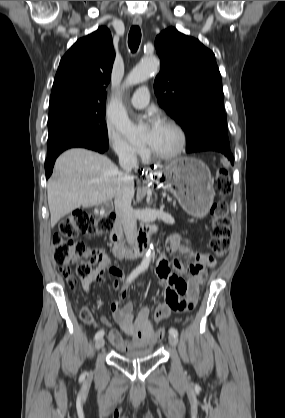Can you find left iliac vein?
<instances>
[{
  "instance_id": "1",
  "label": "left iliac vein",
  "mask_w": 285,
  "mask_h": 418,
  "mask_svg": "<svg viewBox=\"0 0 285 418\" xmlns=\"http://www.w3.org/2000/svg\"><path fill=\"white\" fill-rule=\"evenodd\" d=\"M169 343L173 346V347H177L178 346V338L174 335H169Z\"/></svg>"
}]
</instances>
